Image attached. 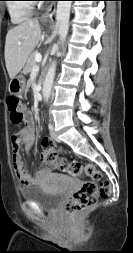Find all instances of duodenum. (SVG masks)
I'll return each instance as SVG.
<instances>
[{"label":"duodenum","mask_w":133,"mask_h":253,"mask_svg":"<svg viewBox=\"0 0 133 253\" xmlns=\"http://www.w3.org/2000/svg\"><path fill=\"white\" fill-rule=\"evenodd\" d=\"M44 79L42 78L40 81V86L42 87Z\"/></svg>","instance_id":"obj_1"}]
</instances>
